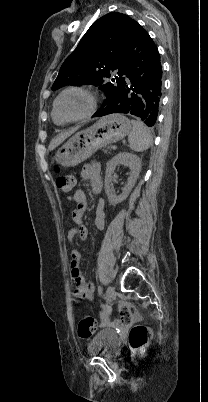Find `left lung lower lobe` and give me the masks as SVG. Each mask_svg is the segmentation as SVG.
Masks as SVG:
<instances>
[{"label": "left lung lower lobe", "mask_w": 208, "mask_h": 402, "mask_svg": "<svg viewBox=\"0 0 208 402\" xmlns=\"http://www.w3.org/2000/svg\"><path fill=\"white\" fill-rule=\"evenodd\" d=\"M125 72L111 101L95 116L127 113L154 126L162 98V65L157 46L135 22L125 52Z\"/></svg>", "instance_id": "left-lung-lower-lobe-1"}]
</instances>
